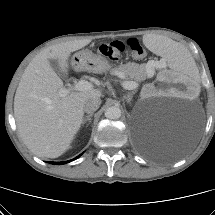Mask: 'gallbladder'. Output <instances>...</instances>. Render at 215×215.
<instances>
[{"mask_svg":"<svg viewBox=\"0 0 215 215\" xmlns=\"http://www.w3.org/2000/svg\"><path fill=\"white\" fill-rule=\"evenodd\" d=\"M49 63L51 65V67L53 68V70L59 75L62 76L63 78L66 77V73L62 71V69L60 68L59 62L58 60H54V59H50Z\"/></svg>","mask_w":215,"mask_h":215,"instance_id":"gallbladder-1","label":"gallbladder"}]
</instances>
